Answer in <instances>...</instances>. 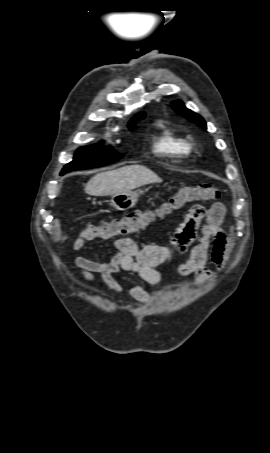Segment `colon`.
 <instances>
[{
	"label": "colon",
	"instance_id": "obj_1",
	"mask_svg": "<svg viewBox=\"0 0 270 453\" xmlns=\"http://www.w3.org/2000/svg\"><path fill=\"white\" fill-rule=\"evenodd\" d=\"M219 188L211 184L184 185L167 200L160 203L155 209H147L129 213L123 217L105 222L100 225H89L82 234L87 237H101L111 239L117 236L137 233L157 218L171 214L194 202H209L220 197Z\"/></svg>",
	"mask_w": 270,
	"mask_h": 453
}]
</instances>
